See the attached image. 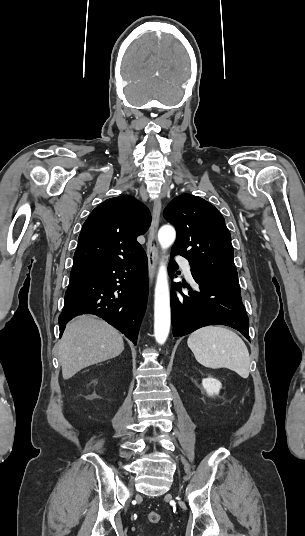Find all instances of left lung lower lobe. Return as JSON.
<instances>
[{"label": "left lung lower lobe", "mask_w": 305, "mask_h": 536, "mask_svg": "<svg viewBox=\"0 0 305 536\" xmlns=\"http://www.w3.org/2000/svg\"><path fill=\"white\" fill-rule=\"evenodd\" d=\"M174 255H171L173 257ZM176 262H169V274L173 276ZM192 276L199 284V291L181 293L171 290V318L174 337L187 335L208 325H227L240 331L248 340L249 319L242 303L238 278L195 272ZM178 289L181 283H174ZM185 287V285H184Z\"/></svg>", "instance_id": "obj_1"}]
</instances>
